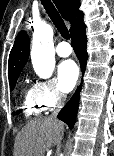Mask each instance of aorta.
<instances>
[{"mask_svg":"<svg viewBox=\"0 0 114 156\" xmlns=\"http://www.w3.org/2000/svg\"><path fill=\"white\" fill-rule=\"evenodd\" d=\"M34 71L43 79L49 78L55 67L53 29L49 24H41L34 29L31 49Z\"/></svg>","mask_w":114,"mask_h":156,"instance_id":"obj_1","label":"aorta"}]
</instances>
